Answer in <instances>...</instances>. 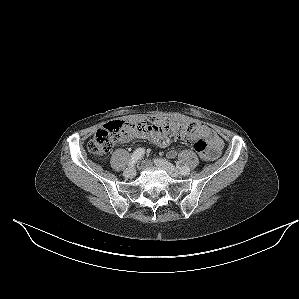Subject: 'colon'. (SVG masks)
Segmentation results:
<instances>
[{
    "instance_id": "1",
    "label": "colon",
    "mask_w": 299,
    "mask_h": 299,
    "mask_svg": "<svg viewBox=\"0 0 299 299\" xmlns=\"http://www.w3.org/2000/svg\"><path fill=\"white\" fill-rule=\"evenodd\" d=\"M158 128L167 134H172L179 139H188L195 129V123L173 122L168 118H154L151 124L146 122L131 123L124 120H113L101 127L88 143V150L96 156H103L111 151L114 145L120 142L131 128L146 130ZM194 149L205 161L209 160L208 145L204 139H197Z\"/></svg>"
}]
</instances>
